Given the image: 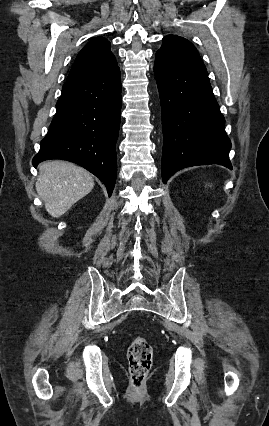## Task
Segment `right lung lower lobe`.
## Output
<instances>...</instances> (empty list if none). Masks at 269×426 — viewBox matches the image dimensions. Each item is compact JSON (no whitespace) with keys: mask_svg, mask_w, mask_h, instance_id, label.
<instances>
[{"mask_svg":"<svg viewBox=\"0 0 269 426\" xmlns=\"http://www.w3.org/2000/svg\"><path fill=\"white\" fill-rule=\"evenodd\" d=\"M121 113L120 69L66 81L50 129L33 158L74 162L97 176L111 196L117 174L116 141Z\"/></svg>","mask_w":269,"mask_h":426,"instance_id":"right-lung-lower-lobe-1","label":"right lung lower lobe"}]
</instances>
